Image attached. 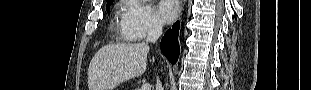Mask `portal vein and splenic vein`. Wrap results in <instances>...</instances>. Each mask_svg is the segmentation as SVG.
I'll list each match as a JSON object with an SVG mask.
<instances>
[{
    "instance_id": "1",
    "label": "portal vein and splenic vein",
    "mask_w": 311,
    "mask_h": 90,
    "mask_svg": "<svg viewBox=\"0 0 311 90\" xmlns=\"http://www.w3.org/2000/svg\"><path fill=\"white\" fill-rule=\"evenodd\" d=\"M140 90H151V86H150V84L146 83V84H144V85L141 87Z\"/></svg>"
}]
</instances>
